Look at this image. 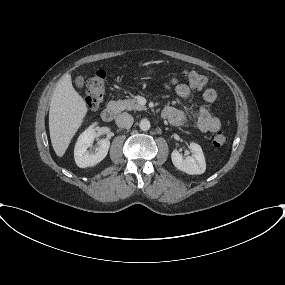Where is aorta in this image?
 I'll list each match as a JSON object with an SVG mask.
<instances>
[{"mask_svg":"<svg viewBox=\"0 0 285 285\" xmlns=\"http://www.w3.org/2000/svg\"><path fill=\"white\" fill-rule=\"evenodd\" d=\"M139 127L142 131H148L151 127L148 119H142L139 123Z\"/></svg>","mask_w":285,"mask_h":285,"instance_id":"aorta-1","label":"aorta"}]
</instances>
